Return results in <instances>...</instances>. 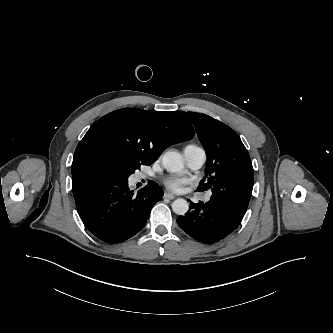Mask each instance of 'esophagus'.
I'll return each instance as SVG.
<instances>
[{
	"instance_id": "1",
	"label": "esophagus",
	"mask_w": 333,
	"mask_h": 333,
	"mask_svg": "<svg viewBox=\"0 0 333 333\" xmlns=\"http://www.w3.org/2000/svg\"><path fill=\"white\" fill-rule=\"evenodd\" d=\"M164 198L173 200L175 198V196L173 194L166 192V193H164Z\"/></svg>"
}]
</instances>
